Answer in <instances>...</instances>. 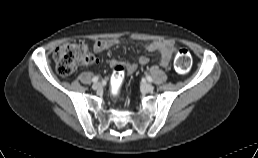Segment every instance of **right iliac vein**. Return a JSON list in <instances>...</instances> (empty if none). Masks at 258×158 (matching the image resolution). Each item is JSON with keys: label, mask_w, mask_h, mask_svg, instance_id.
Returning a JSON list of instances; mask_svg holds the SVG:
<instances>
[{"label": "right iliac vein", "mask_w": 258, "mask_h": 158, "mask_svg": "<svg viewBox=\"0 0 258 158\" xmlns=\"http://www.w3.org/2000/svg\"><path fill=\"white\" fill-rule=\"evenodd\" d=\"M101 87H102L101 83H94V84L92 85V88H93L94 90H98V89H100Z\"/></svg>", "instance_id": "obj_1"}]
</instances>
